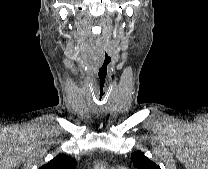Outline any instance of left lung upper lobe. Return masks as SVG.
Wrapping results in <instances>:
<instances>
[{
	"mask_svg": "<svg viewBox=\"0 0 208 169\" xmlns=\"http://www.w3.org/2000/svg\"><path fill=\"white\" fill-rule=\"evenodd\" d=\"M131 158L137 169H160L158 165L148 159L141 151L134 152Z\"/></svg>",
	"mask_w": 208,
	"mask_h": 169,
	"instance_id": "obj_1",
	"label": "left lung upper lobe"
}]
</instances>
